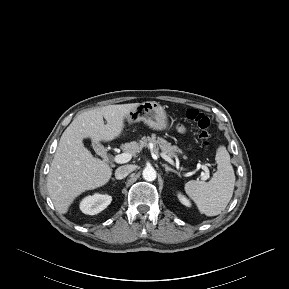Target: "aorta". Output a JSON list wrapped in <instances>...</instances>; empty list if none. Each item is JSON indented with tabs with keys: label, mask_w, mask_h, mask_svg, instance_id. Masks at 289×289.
<instances>
[{
	"label": "aorta",
	"mask_w": 289,
	"mask_h": 289,
	"mask_svg": "<svg viewBox=\"0 0 289 289\" xmlns=\"http://www.w3.org/2000/svg\"><path fill=\"white\" fill-rule=\"evenodd\" d=\"M143 178L146 180V181H154L156 179V171L154 168L152 167H146L144 170H143Z\"/></svg>",
	"instance_id": "obj_1"
}]
</instances>
